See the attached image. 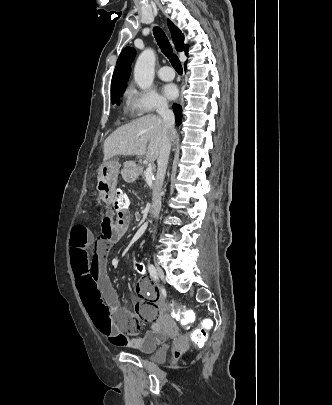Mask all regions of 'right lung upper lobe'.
<instances>
[{
	"label": "right lung upper lobe",
	"instance_id": "right-lung-upper-lobe-1",
	"mask_svg": "<svg viewBox=\"0 0 332 405\" xmlns=\"http://www.w3.org/2000/svg\"><path fill=\"white\" fill-rule=\"evenodd\" d=\"M168 27L172 33V38L177 51H185L188 54V45L184 44L183 33L170 21L168 20ZM136 55V50L134 48L126 47L119 55L116 63V67L113 73L111 88L117 86L120 83L127 82L130 76L131 68L130 65Z\"/></svg>",
	"mask_w": 332,
	"mask_h": 405
}]
</instances>
